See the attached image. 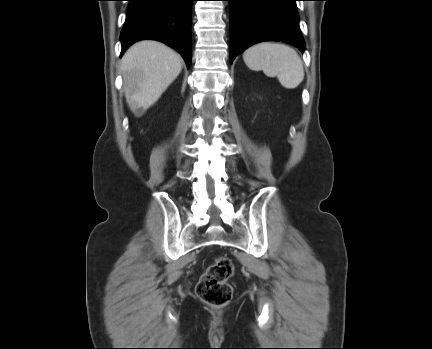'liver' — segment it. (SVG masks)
Returning <instances> with one entry per match:
<instances>
[{
  "instance_id": "1",
  "label": "liver",
  "mask_w": 432,
  "mask_h": 349,
  "mask_svg": "<svg viewBox=\"0 0 432 349\" xmlns=\"http://www.w3.org/2000/svg\"><path fill=\"white\" fill-rule=\"evenodd\" d=\"M182 70L181 56L157 41L132 45L121 60L125 97L140 116L154 105Z\"/></svg>"
}]
</instances>
